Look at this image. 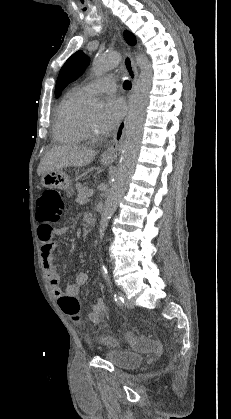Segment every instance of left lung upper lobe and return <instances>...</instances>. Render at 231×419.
Listing matches in <instances>:
<instances>
[{
	"label": "left lung upper lobe",
	"instance_id": "1",
	"mask_svg": "<svg viewBox=\"0 0 231 419\" xmlns=\"http://www.w3.org/2000/svg\"><path fill=\"white\" fill-rule=\"evenodd\" d=\"M124 37L129 44H135L136 39L132 33L125 31ZM88 64L89 58L83 53V51L79 50L75 52L65 62V64L60 70L55 87V96L59 97L61 91L65 88V86L70 82L76 80L84 72Z\"/></svg>",
	"mask_w": 231,
	"mask_h": 419
}]
</instances>
